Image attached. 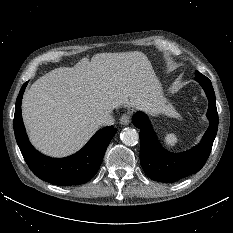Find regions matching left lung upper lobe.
Instances as JSON below:
<instances>
[{"instance_id": "obj_1", "label": "left lung upper lobe", "mask_w": 233, "mask_h": 233, "mask_svg": "<svg viewBox=\"0 0 233 233\" xmlns=\"http://www.w3.org/2000/svg\"><path fill=\"white\" fill-rule=\"evenodd\" d=\"M195 80L197 81L198 79H206L207 77L201 74L200 72L196 71L195 72Z\"/></svg>"}]
</instances>
